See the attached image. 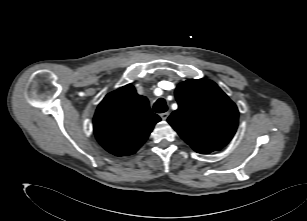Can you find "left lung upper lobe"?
<instances>
[{"instance_id": "1", "label": "left lung upper lobe", "mask_w": 307, "mask_h": 221, "mask_svg": "<svg viewBox=\"0 0 307 221\" xmlns=\"http://www.w3.org/2000/svg\"><path fill=\"white\" fill-rule=\"evenodd\" d=\"M175 95L179 107L167 121L196 152L209 154L220 150L233 138L238 109L213 81H184Z\"/></svg>"}]
</instances>
